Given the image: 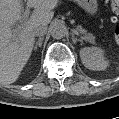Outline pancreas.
I'll return each mask as SVG.
<instances>
[{
	"label": "pancreas",
	"mask_w": 119,
	"mask_h": 119,
	"mask_svg": "<svg viewBox=\"0 0 119 119\" xmlns=\"http://www.w3.org/2000/svg\"><path fill=\"white\" fill-rule=\"evenodd\" d=\"M78 32L81 34L82 38L92 44H95V37L93 34L88 33L85 29L81 28L80 26L77 28Z\"/></svg>",
	"instance_id": "pancreas-1"
}]
</instances>
